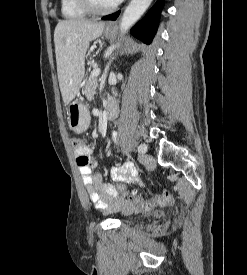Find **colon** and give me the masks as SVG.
<instances>
[{
	"mask_svg": "<svg viewBox=\"0 0 247 275\" xmlns=\"http://www.w3.org/2000/svg\"><path fill=\"white\" fill-rule=\"evenodd\" d=\"M71 144L76 151L81 150L84 146L83 141L77 137L71 139ZM82 160L85 161L86 158L82 157ZM114 189L120 197L140 207L142 210H150L154 206H170L173 205L175 201L172 193L167 190H162L160 193L149 197L143 193L130 191L125 185L121 184L115 185Z\"/></svg>",
	"mask_w": 247,
	"mask_h": 275,
	"instance_id": "colon-1",
	"label": "colon"
}]
</instances>
